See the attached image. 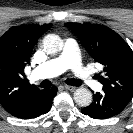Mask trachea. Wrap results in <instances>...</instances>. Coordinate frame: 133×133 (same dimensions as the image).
Returning a JSON list of instances; mask_svg holds the SVG:
<instances>
[{
  "mask_svg": "<svg viewBox=\"0 0 133 133\" xmlns=\"http://www.w3.org/2000/svg\"><path fill=\"white\" fill-rule=\"evenodd\" d=\"M66 83H67L68 85H71V86H80V85L82 84L81 81H79V80H77V79H74V78L68 79V80L66 81ZM50 86H51V82H50L49 80H44V81L41 83V87H42V88H48V87H50Z\"/></svg>",
  "mask_w": 133,
  "mask_h": 133,
  "instance_id": "1",
  "label": "trachea"
}]
</instances>
